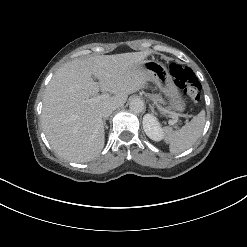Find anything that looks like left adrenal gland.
I'll return each mask as SVG.
<instances>
[{"label":"left adrenal gland","mask_w":247,"mask_h":247,"mask_svg":"<svg viewBox=\"0 0 247 247\" xmlns=\"http://www.w3.org/2000/svg\"><path fill=\"white\" fill-rule=\"evenodd\" d=\"M150 108H151V111H152V112H154V108H153V106H151V105H150Z\"/></svg>","instance_id":"1"}]
</instances>
